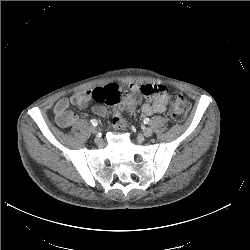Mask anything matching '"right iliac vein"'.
Returning <instances> with one entry per match:
<instances>
[{
	"instance_id": "right-iliac-vein-1",
	"label": "right iliac vein",
	"mask_w": 250,
	"mask_h": 250,
	"mask_svg": "<svg viewBox=\"0 0 250 250\" xmlns=\"http://www.w3.org/2000/svg\"><path fill=\"white\" fill-rule=\"evenodd\" d=\"M90 132L93 133V134H96L97 133V128L94 127V126H91L90 127Z\"/></svg>"
}]
</instances>
